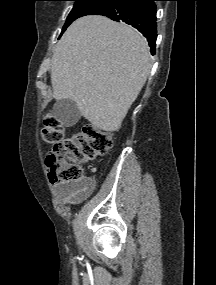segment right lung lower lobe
Wrapping results in <instances>:
<instances>
[{
    "label": "right lung lower lobe",
    "instance_id": "1",
    "mask_svg": "<svg viewBox=\"0 0 216 285\" xmlns=\"http://www.w3.org/2000/svg\"><path fill=\"white\" fill-rule=\"evenodd\" d=\"M154 1L158 0H117L94 15L107 16L114 21L132 25L147 38L154 55L157 38Z\"/></svg>",
    "mask_w": 216,
    "mask_h": 285
}]
</instances>
